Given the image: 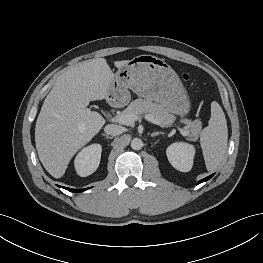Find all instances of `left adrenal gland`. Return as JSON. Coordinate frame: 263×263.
I'll return each mask as SVG.
<instances>
[{
	"label": "left adrenal gland",
	"instance_id": "obj_1",
	"mask_svg": "<svg viewBox=\"0 0 263 263\" xmlns=\"http://www.w3.org/2000/svg\"><path fill=\"white\" fill-rule=\"evenodd\" d=\"M160 134L163 135L164 132H153L150 136L155 137V136L160 135Z\"/></svg>",
	"mask_w": 263,
	"mask_h": 263
}]
</instances>
